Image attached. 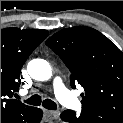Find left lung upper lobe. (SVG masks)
<instances>
[{"instance_id": "1", "label": "left lung upper lobe", "mask_w": 123, "mask_h": 123, "mask_svg": "<svg viewBox=\"0 0 123 123\" xmlns=\"http://www.w3.org/2000/svg\"><path fill=\"white\" fill-rule=\"evenodd\" d=\"M68 67L72 88L84 87L82 108H94L123 118V53L102 33L76 26L62 29L46 41Z\"/></svg>"}]
</instances>
